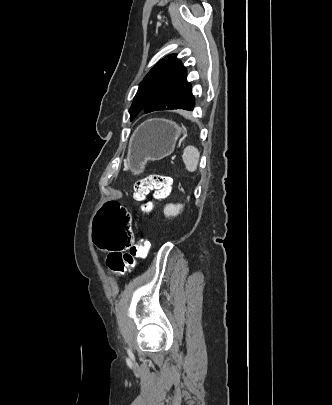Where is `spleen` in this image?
Masks as SVG:
<instances>
[{"instance_id":"spleen-1","label":"spleen","mask_w":332,"mask_h":405,"mask_svg":"<svg viewBox=\"0 0 332 405\" xmlns=\"http://www.w3.org/2000/svg\"><path fill=\"white\" fill-rule=\"evenodd\" d=\"M182 159L186 169L189 172H194L199 164L200 152L194 146H187L183 151Z\"/></svg>"}]
</instances>
